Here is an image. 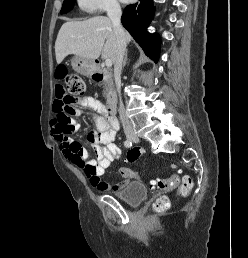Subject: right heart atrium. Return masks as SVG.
<instances>
[{
	"mask_svg": "<svg viewBox=\"0 0 248 258\" xmlns=\"http://www.w3.org/2000/svg\"><path fill=\"white\" fill-rule=\"evenodd\" d=\"M80 9L87 13L111 12L119 9L117 0H77Z\"/></svg>",
	"mask_w": 248,
	"mask_h": 258,
	"instance_id": "right-heart-atrium-1",
	"label": "right heart atrium"
}]
</instances>
